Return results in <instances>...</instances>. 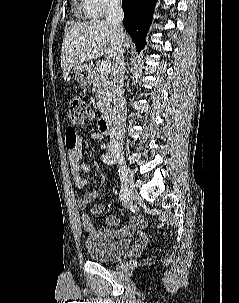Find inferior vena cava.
I'll return each mask as SVG.
<instances>
[{
  "label": "inferior vena cava",
  "mask_w": 239,
  "mask_h": 303,
  "mask_svg": "<svg viewBox=\"0 0 239 303\" xmlns=\"http://www.w3.org/2000/svg\"><path fill=\"white\" fill-rule=\"evenodd\" d=\"M124 18L123 9L120 0H110L107 9L106 21L112 24L116 30L117 49L114 55V65L112 69L113 85H112V128L110 134L109 149L121 151L123 148V133L126 123V102L123 97L124 83V38L125 31L122 27Z\"/></svg>",
  "instance_id": "inferior-vena-cava-1"
}]
</instances>
